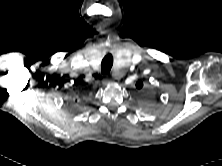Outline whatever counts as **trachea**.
I'll return each instance as SVG.
<instances>
[{
    "label": "trachea",
    "instance_id": "1",
    "mask_svg": "<svg viewBox=\"0 0 222 166\" xmlns=\"http://www.w3.org/2000/svg\"><path fill=\"white\" fill-rule=\"evenodd\" d=\"M113 65V58L110 53L105 55L101 63L102 74L108 75Z\"/></svg>",
    "mask_w": 222,
    "mask_h": 166
}]
</instances>
